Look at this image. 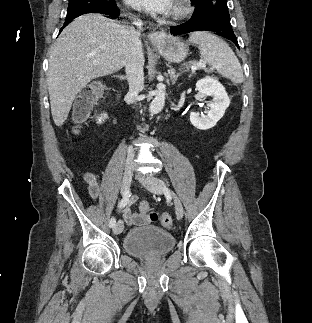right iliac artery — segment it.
<instances>
[{"label":"right iliac artery","mask_w":312,"mask_h":323,"mask_svg":"<svg viewBox=\"0 0 312 323\" xmlns=\"http://www.w3.org/2000/svg\"><path fill=\"white\" fill-rule=\"evenodd\" d=\"M129 197H130V193H129V191H127L125 194H124V196H123V198L121 199V201H120V203H119V207H121V208H123V207H125L126 205H127V203H128V201H129ZM115 224H116V220H115V218H111V220H110V222H109V227L110 228H113L114 226H115Z\"/></svg>","instance_id":"1"}]
</instances>
